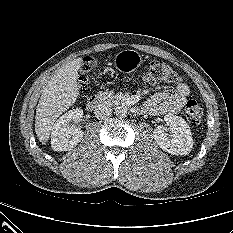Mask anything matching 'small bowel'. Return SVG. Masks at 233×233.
Listing matches in <instances>:
<instances>
[{
    "mask_svg": "<svg viewBox=\"0 0 233 233\" xmlns=\"http://www.w3.org/2000/svg\"><path fill=\"white\" fill-rule=\"evenodd\" d=\"M189 93L188 85L181 82L173 90H165L151 96L142 106V112L151 115L176 113L185 105Z\"/></svg>",
    "mask_w": 233,
    "mask_h": 233,
    "instance_id": "small-bowel-1",
    "label": "small bowel"
}]
</instances>
